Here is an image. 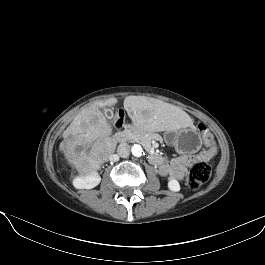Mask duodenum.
<instances>
[{
    "label": "duodenum",
    "mask_w": 265,
    "mask_h": 265,
    "mask_svg": "<svg viewBox=\"0 0 265 265\" xmlns=\"http://www.w3.org/2000/svg\"><path fill=\"white\" fill-rule=\"evenodd\" d=\"M124 137H125V131H119L114 136L116 141H121L124 139ZM149 160L151 163H153L156 166H160L164 163V158L156 154H150Z\"/></svg>",
    "instance_id": "1"
}]
</instances>
